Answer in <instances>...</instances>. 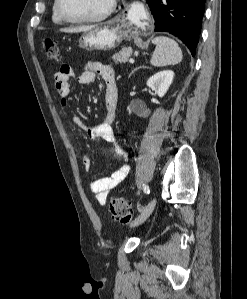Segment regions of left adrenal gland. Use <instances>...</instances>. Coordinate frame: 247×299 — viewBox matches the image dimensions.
<instances>
[{
	"label": "left adrenal gland",
	"instance_id": "obj_1",
	"mask_svg": "<svg viewBox=\"0 0 247 299\" xmlns=\"http://www.w3.org/2000/svg\"><path fill=\"white\" fill-rule=\"evenodd\" d=\"M140 68H142V67L140 66V67H137V68H135L134 70H132L131 73L129 74V77H130L135 71H137V70L140 69Z\"/></svg>",
	"mask_w": 247,
	"mask_h": 299
}]
</instances>
